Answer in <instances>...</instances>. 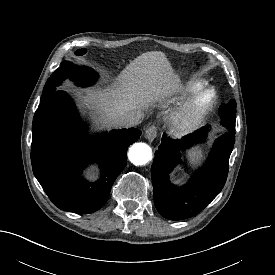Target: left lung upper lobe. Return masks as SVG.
I'll list each match as a JSON object with an SVG mask.
<instances>
[{
    "instance_id": "obj_1",
    "label": "left lung upper lobe",
    "mask_w": 275,
    "mask_h": 275,
    "mask_svg": "<svg viewBox=\"0 0 275 275\" xmlns=\"http://www.w3.org/2000/svg\"><path fill=\"white\" fill-rule=\"evenodd\" d=\"M220 117L229 122L230 124L235 125L236 121V102L231 100L229 104H223L219 109Z\"/></svg>"
}]
</instances>
